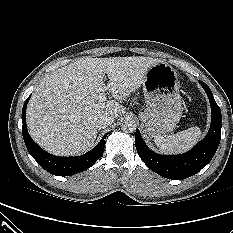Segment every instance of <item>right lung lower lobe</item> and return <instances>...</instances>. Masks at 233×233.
Wrapping results in <instances>:
<instances>
[{
    "instance_id": "right-lung-lower-lobe-1",
    "label": "right lung lower lobe",
    "mask_w": 233,
    "mask_h": 233,
    "mask_svg": "<svg viewBox=\"0 0 233 233\" xmlns=\"http://www.w3.org/2000/svg\"><path fill=\"white\" fill-rule=\"evenodd\" d=\"M30 97L24 102L22 110V133L26 144V147L36 162L44 168L46 171L57 176H69L79 172H82L91 167L103 154L105 147V138L107 134L101 139V141L89 152L78 157H58L51 155L41 149L34 143L30 137L26 126V106Z\"/></svg>"
}]
</instances>
